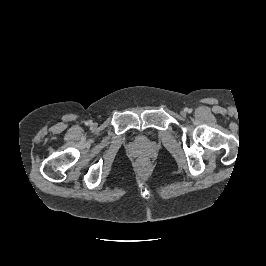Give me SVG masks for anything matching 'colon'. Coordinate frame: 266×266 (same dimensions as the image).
I'll use <instances>...</instances> for the list:
<instances>
[{"instance_id": "obj_1", "label": "colon", "mask_w": 266, "mask_h": 266, "mask_svg": "<svg viewBox=\"0 0 266 266\" xmlns=\"http://www.w3.org/2000/svg\"><path fill=\"white\" fill-rule=\"evenodd\" d=\"M138 166L140 169H146L148 167V161L146 159H141L138 162Z\"/></svg>"}]
</instances>
